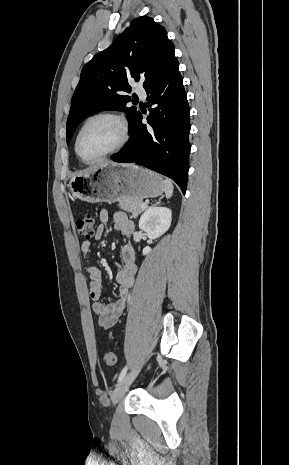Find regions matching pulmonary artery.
I'll list each match as a JSON object with an SVG mask.
<instances>
[{
	"label": "pulmonary artery",
	"mask_w": 289,
	"mask_h": 465,
	"mask_svg": "<svg viewBox=\"0 0 289 465\" xmlns=\"http://www.w3.org/2000/svg\"><path fill=\"white\" fill-rule=\"evenodd\" d=\"M136 92H137L138 95L145 98L146 92H145V90H144V88L142 86H137Z\"/></svg>",
	"instance_id": "1"
}]
</instances>
